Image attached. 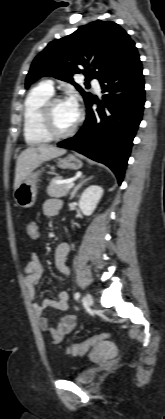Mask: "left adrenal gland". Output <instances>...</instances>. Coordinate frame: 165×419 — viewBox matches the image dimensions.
Here are the masks:
<instances>
[{
	"mask_svg": "<svg viewBox=\"0 0 165 419\" xmlns=\"http://www.w3.org/2000/svg\"><path fill=\"white\" fill-rule=\"evenodd\" d=\"M91 179H92V177L84 179V176H82L81 177V182L77 186H75L74 189L72 190L70 199H72L75 196L76 192L81 188V186L83 184H85L88 180H91Z\"/></svg>",
	"mask_w": 165,
	"mask_h": 419,
	"instance_id": "a2214340",
	"label": "left adrenal gland"
}]
</instances>
